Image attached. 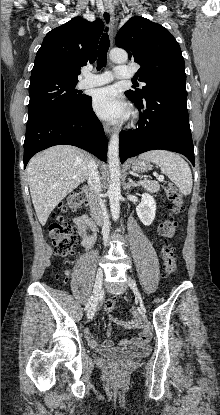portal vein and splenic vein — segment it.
Wrapping results in <instances>:
<instances>
[{"label":"portal vein and splenic vein","instance_id":"obj_1","mask_svg":"<svg viewBox=\"0 0 220 415\" xmlns=\"http://www.w3.org/2000/svg\"><path fill=\"white\" fill-rule=\"evenodd\" d=\"M164 177L163 176H159V179H163Z\"/></svg>","mask_w":220,"mask_h":415}]
</instances>
